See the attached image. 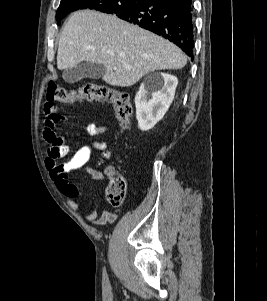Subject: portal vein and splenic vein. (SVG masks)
<instances>
[{"instance_id": "18ae733b", "label": "portal vein and splenic vein", "mask_w": 267, "mask_h": 301, "mask_svg": "<svg viewBox=\"0 0 267 301\" xmlns=\"http://www.w3.org/2000/svg\"><path fill=\"white\" fill-rule=\"evenodd\" d=\"M110 55L113 56V53H110ZM126 67H128V66H126Z\"/></svg>"}]
</instances>
